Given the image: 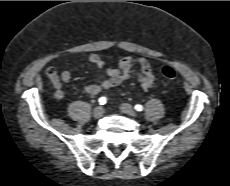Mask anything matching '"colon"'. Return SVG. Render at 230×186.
Wrapping results in <instances>:
<instances>
[{"label": "colon", "instance_id": "5ec220e1", "mask_svg": "<svg viewBox=\"0 0 230 186\" xmlns=\"http://www.w3.org/2000/svg\"><path fill=\"white\" fill-rule=\"evenodd\" d=\"M48 74L52 75L53 71L49 70ZM162 74L166 79H169V80H173V79H175L177 77L176 71L170 66L163 67Z\"/></svg>", "mask_w": 230, "mask_h": 186}]
</instances>
